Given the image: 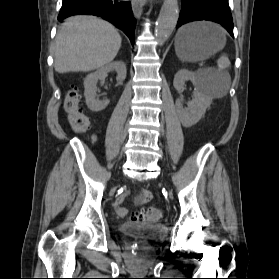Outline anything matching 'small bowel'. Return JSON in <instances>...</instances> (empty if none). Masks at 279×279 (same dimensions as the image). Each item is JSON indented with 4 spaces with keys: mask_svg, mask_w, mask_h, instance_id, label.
I'll return each instance as SVG.
<instances>
[{
    "mask_svg": "<svg viewBox=\"0 0 279 279\" xmlns=\"http://www.w3.org/2000/svg\"><path fill=\"white\" fill-rule=\"evenodd\" d=\"M125 195H120L114 204L115 212L118 216L122 217L125 216L127 213V210L121 206V203L124 199ZM151 197V194L148 190L141 189L138 194L136 195L135 201L137 204H143L147 202Z\"/></svg>",
    "mask_w": 279,
    "mask_h": 279,
    "instance_id": "obj_1",
    "label": "small bowel"
}]
</instances>
